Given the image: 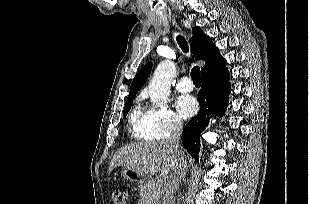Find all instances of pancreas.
<instances>
[{
  "label": "pancreas",
  "instance_id": "obj_1",
  "mask_svg": "<svg viewBox=\"0 0 309 204\" xmlns=\"http://www.w3.org/2000/svg\"><path fill=\"white\" fill-rule=\"evenodd\" d=\"M166 183L161 178H151L141 186L142 204H160L159 200L164 194Z\"/></svg>",
  "mask_w": 309,
  "mask_h": 204
}]
</instances>
